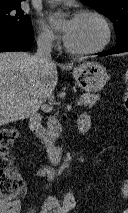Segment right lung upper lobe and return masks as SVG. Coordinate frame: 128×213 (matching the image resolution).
<instances>
[{"instance_id":"right-lung-upper-lobe-1","label":"right lung upper lobe","mask_w":128,"mask_h":213,"mask_svg":"<svg viewBox=\"0 0 128 213\" xmlns=\"http://www.w3.org/2000/svg\"><path fill=\"white\" fill-rule=\"evenodd\" d=\"M21 1H24V0H0V6L1 5L20 4Z\"/></svg>"}]
</instances>
